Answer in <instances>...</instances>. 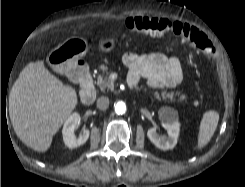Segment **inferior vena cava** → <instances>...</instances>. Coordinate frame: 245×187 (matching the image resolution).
Listing matches in <instances>:
<instances>
[{
  "label": "inferior vena cava",
  "mask_w": 245,
  "mask_h": 187,
  "mask_svg": "<svg viewBox=\"0 0 245 187\" xmlns=\"http://www.w3.org/2000/svg\"><path fill=\"white\" fill-rule=\"evenodd\" d=\"M109 106V98L102 96L97 100V108L100 110H106Z\"/></svg>",
  "instance_id": "602c4592"
}]
</instances>
